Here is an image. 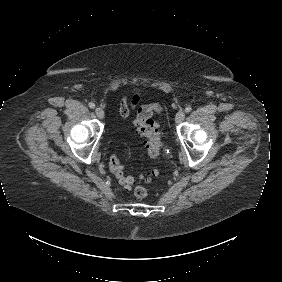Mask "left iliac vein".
<instances>
[{
  "label": "left iliac vein",
  "instance_id": "1",
  "mask_svg": "<svg viewBox=\"0 0 282 282\" xmlns=\"http://www.w3.org/2000/svg\"><path fill=\"white\" fill-rule=\"evenodd\" d=\"M185 118V112L184 110H179L175 116V122L176 124L181 123Z\"/></svg>",
  "mask_w": 282,
  "mask_h": 282
}]
</instances>
